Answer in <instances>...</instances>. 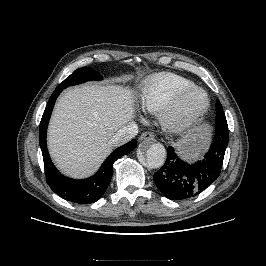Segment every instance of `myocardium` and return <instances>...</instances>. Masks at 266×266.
Listing matches in <instances>:
<instances>
[{
  "label": "myocardium",
  "instance_id": "obj_1",
  "mask_svg": "<svg viewBox=\"0 0 266 266\" xmlns=\"http://www.w3.org/2000/svg\"><path fill=\"white\" fill-rule=\"evenodd\" d=\"M191 91L199 92L204 97V105L199 110L188 113L181 109L184 97ZM210 108V98L205 89L191 85L177 91L158 113L160 122L167 128L182 129L200 120Z\"/></svg>",
  "mask_w": 266,
  "mask_h": 266
}]
</instances>
